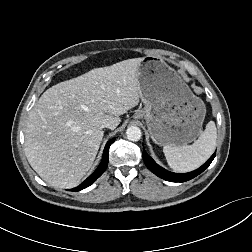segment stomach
<instances>
[{
    "label": "stomach",
    "mask_w": 252,
    "mask_h": 252,
    "mask_svg": "<svg viewBox=\"0 0 252 252\" xmlns=\"http://www.w3.org/2000/svg\"><path fill=\"white\" fill-rule=\"evenodd\" d=\"M137 74L144 108L133 117L146 120L152 140L160 146H182L195 141L202 132L206 114L203 101L161 58H142Z\"/></svg>",
    "instance_id": "obj_1"
}]
</instances>
